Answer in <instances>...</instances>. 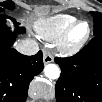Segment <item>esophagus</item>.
I'll list each match as a JSON object with an SVG mask.
<instances>
[{
    "label": "esophagus",
    "instance_id": "esophagus-1",
    "mask_svg": "<svg viewBox=\"0 0 102 102\" xmlns=\"http://www.w3.org/2000/svg\"><path fill=\"white\" fill-rule=\"evenodd\" d=\"M54 61L53 55L47 50H43V62L44 64H48Z\"/></svg>",
    "mask_w": 102,
    "mask_h": 102
}]
</instances>
